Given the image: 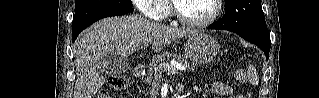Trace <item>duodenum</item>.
I'll return each instance as SVG.
<instances>
[{"label":"duodenum","mask_w":319,"mask_h":98,"mask_svg":"<svg viewBox=\"0 0 319 98\" xmlns=\"http://www.w3.org/2000/svg\"><path fill=\"white\" fill-rule=\"evenodd\" d=\"M144 69H145V63H139L137 64L134 69H133V76L135 78H140L144 72ZM182 88H179L178 92H182Z\"/></svg>","instance_id":"410a0bca"}]
</instances>
